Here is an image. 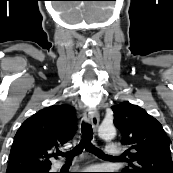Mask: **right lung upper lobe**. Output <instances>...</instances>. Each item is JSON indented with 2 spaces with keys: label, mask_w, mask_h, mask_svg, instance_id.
<instances>
[{
  "label": "right lung upper lobe",
  "mask_w": 173,
  "mask_h": 173,
  "mask_svg": "<svg viewBox=\"0 0 173 173\" xmlns=\"http://www.w3.org/2000/svg\"><path fill=\"white\" fill-rule=\"evenodd\" d=\"M73 107L53 105L25 120L18 129L6 173L29 169H50L52 153L76 133Z\"/></svg>",
  "instance_id": "cb5924a9"
}]
</instances>
